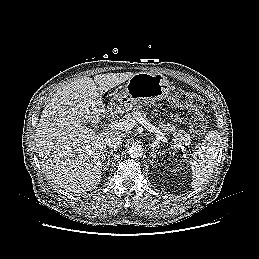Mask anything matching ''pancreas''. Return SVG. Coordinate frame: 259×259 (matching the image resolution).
<instances>
[{
    "label": "pancreas",
    "instance_id": "pancreas-1",
    "mask_svg": "<svg viewBox=\"0 0 259 259\" xmlns=\"http://www.w3.org/2000/svg\"><path fill=\"white\" fill-rule=\"evenodd\" d=\"M127 119H131L133 121H138L143 119L147 120V112H144L142 110L140 111H133L132 113H127L125 116ZM149 122V121H148ZM158 125L157 130L162 131L164 135L172 136V140L175 142H178L179 144L183 145H190L191 143V137L190 134H188L186 131H184L181 128H177L171 123H166L165 121H159V123H155Z\"/></svg>",
    "mask_w": 259,
    "mask_h": 259
}]
</instances>
